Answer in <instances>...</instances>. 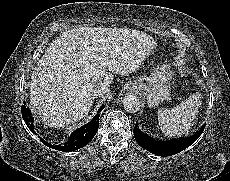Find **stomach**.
Wrapping results in <instances>:
<instances>
[{
	"instance_id": "0dacf381",
	"label": "stomach",
	"mask_w": 230,
	"mask_h": 181,
	"mask_svg": "<svg viewBox=\"0 0 230 181\" xmlns=\"http://www.w3.org/2000/svg\"><path fill=\"white\" fill-rule=\"evenodd\" d=\"M171 77L170 66L165 64L150 77L138 80L130 84L129 87L142 92L147 99L148 105L155 107L169 98Z\"/></svg>"
}]
</instances>
